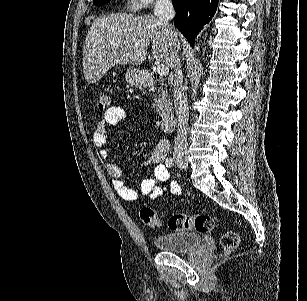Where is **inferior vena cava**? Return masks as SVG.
Instances as JSON below:
<instances>
[{
    "label": "inferior vena cava",
    "instance_id": "obj_1",
    "mask_svg": "<svg viewBox=\"0 0 307 301\" xmlns=\"http://www.w3.org/2000/svg\"><path fill=\"white\" fill-rule=\"evenodd\" d=\"M154 16H157L158 22L166 26L169 36L172 40H177V32L170 24L169 20L175 16V10L172 0H156L154 6ZM175 54L173 64V98L175 112L177 116V132L174 138L173 155L174 157H185L188 153L187 130L189 120V104L186 92L183 88V72L181 70L180 58Z\"/></svg>",
    "mask_w": 307,
    "mask_h": 301
}]
</instances>
